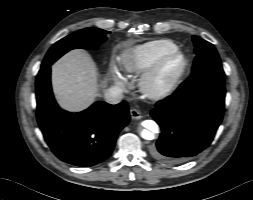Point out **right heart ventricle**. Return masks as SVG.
Masks as SVG:
<instances>
[{"mask_svg": "<svg viewBox=\"0 0 253 200\" xmlns=\"http://www.w3.org/2000/svg\"><path fill=\"white\" fill-rule=\"evenodd\" d=\"M171 40L158 39L126 49L120 58L122 70L127 74L145 72L161 55L176 50Z\"/></svg>", "mask_w": 253, "mask_h": 200, "instance_id": "right-heart-ventricle-1", "label": "right heart ventricle"}]
</instances>
